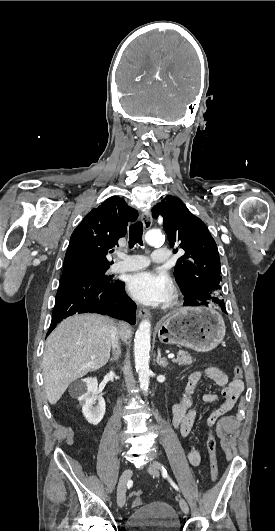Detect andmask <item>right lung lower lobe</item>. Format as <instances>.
Returning <instances> with one entry per match:
<instances>
[{
    "label": "right lung lower lobe",
    "mask_w": 275,
    "mask_h": 531,
    "mask_svg": "<svg viewBox=\"0 0 275 531\" xmlns=\"http://www.w3.org/2000/svg\"><path fill=\"white\" fill-rule=\"evenodd\" d=\"M88 312L108 315L130 324L136 322V304L125 293L124 282L104 283L86 275H68L61 277L47 335L68 316Z\"/></svg>",
    "instance_id": "right-lung-lower-lobe-1"
}]
</instances>
